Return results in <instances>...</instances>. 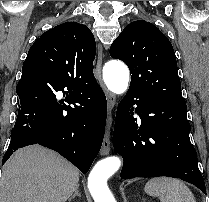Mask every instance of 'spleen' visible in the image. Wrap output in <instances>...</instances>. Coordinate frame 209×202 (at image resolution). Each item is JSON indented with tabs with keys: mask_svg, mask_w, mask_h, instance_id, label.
<instances>
[{
	"mask_svg": "<svg viewBox=\"0 0 209 202\" xmlns=\"http://www.w3.org/2000/svg\"><path fill=\"white\" fill-rule=\"evenodd\" d=\"M145 192L158 197L161 202H196L193 193L182 181L169 177L150 179L145 185Z\"/></svg>",
	"mask_w": 209,
	"mask_h": 202,
	"instance_id": "obj_1",
	"label": "spleen"
}]
</instances>
